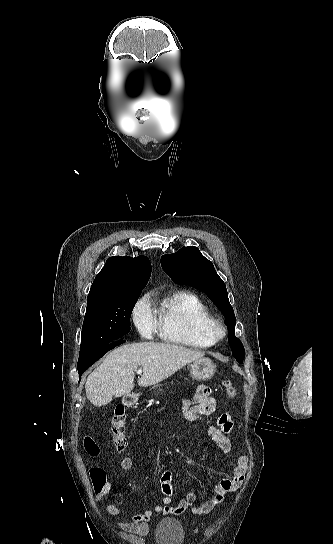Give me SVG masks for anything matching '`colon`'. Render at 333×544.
Here are the masks:
<instances>
[{
    "mask_svg": "<svg viewBox=\"0 0 333 544\" xmlns=\"http://www.w3.org/2000/svg\"><path fill=\"white\" fill-rule=\"evenodd\" d=\"M225 394L227 400H232L237 390L230 381H224ZM110 432L113 438L114 445L119 452H123L127 447L126 437V414L123 407L119 406L115 409L111 418ZM85 449L91 456H96L99 452L97 445L93 440L87 438L85 440ZM90 478L95 491L100 490L106 484V473L101 467H93L90 469Z\"/></svg>",
    "mask_w": 333,
    "mask_h": 544,
    "instance_id": "1",
    "label": "colon"
}]
</instances>
